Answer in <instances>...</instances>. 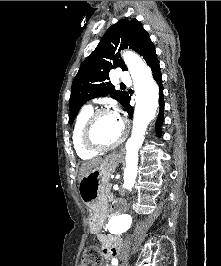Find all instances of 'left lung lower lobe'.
<instances>
[{
    "label": "left lung lower lobe",
    "instance_id": "obj_1",
    "mask_svg": "<svg viewBox=\"0 0 221 266\" xmlns=\"http://www.w3.org/2000/svg\"><path fill=\"white\" fill-rule=\"evenodd\" d=\"M151 71L154 80L159 84V89H160V97H159V103H160V112L156 121V131H157V136H160L161 134V129L160 126L163 123V109H164V100H163V86H162V75L160 71V66H159V61H157L153 66H151ZM130 97L128 96L124 108L128 112L130 118H132L133 115V107L130 106L129 104Z\"/></svg>",
    "mask_w": 221,
    "mask_h": 266
}]
</instances>
